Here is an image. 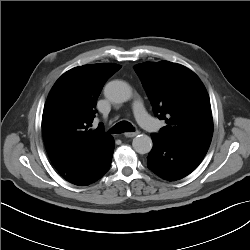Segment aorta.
Instances as JSON below:
<instances>
[{"instance_id": "aorta-1", "label": "aorta", "mask_w": 250, "mask_h": 250, "mask_svg": "<svg viewBox=\"0 0 250 250\" xmlns=\"http://www.w3.org/2000/svg\"><path fill=\"white\" fill-rule=\"evenodd\" d=\"M104 95L113 103H124L130 100L132 90L126 82L113 80L105 85ZM132 146L137 153L146 154L152 149V140L147 135H138L133 139Z\"/></svg>"}]
</instances>
